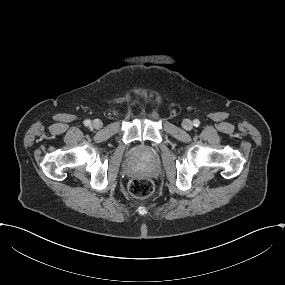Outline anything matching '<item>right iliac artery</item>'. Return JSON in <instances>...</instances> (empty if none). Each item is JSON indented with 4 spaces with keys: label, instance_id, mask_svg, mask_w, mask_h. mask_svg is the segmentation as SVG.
Masks as SVG:
<instances>
[{
    "label": "right iliac artery",
    "instance_id": "82829eb1",
    "mask_svg": "<svg viewBox=\"0 0 285 285\" xmlns=\"http://www.w3.org/2000/svg\"><path fill=\"white\" fill-rule=\"evenodd\" d=\"M90 124H91V121H90V120L87 119V120L84 121V125H85V126H89Z\"/></svg>",
    "mask_w": 285,
    "mask_h": 285
}]
</instances>
